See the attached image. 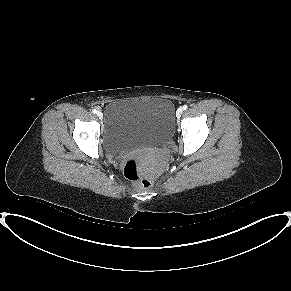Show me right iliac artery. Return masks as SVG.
<instances>
[{"label":"right iliac artery","instance_id":"right-iliac-artery-1","mask_svg":"<svg viewBox=\"0 0 291 291\" xmlns=\"http://www.w3.org/2000/svg\"><path fill=\"white\" fill-rule=\"evenodd\" d=\"M92 112H93V113H97V110H96V109H93Z\"/></svg>","mask_w":291,"mask_h":291}]
</instances>
